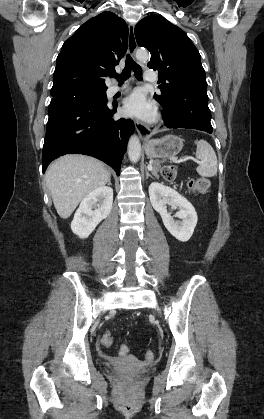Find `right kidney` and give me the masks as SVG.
<instances>
[{"instance_id": "right-kidney-1", "label": "right kidney", "mask_w": 264, "mask_h": 419, "mask_svg": "<svg viewBox=\"0 0 264 419\" xmlns=\"http://www.w3.org/2000/svg\"><path fill=\"white\" fill-rule=\"evenodd\" d=\"M113 204V189L103 186L89 193L80 203L71 230L80 238H87L96 226L110 214Z\"/></svg>"}]
</instances>
